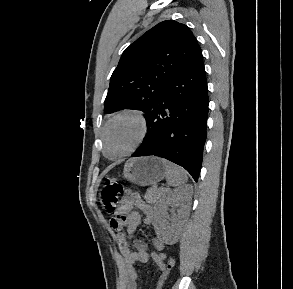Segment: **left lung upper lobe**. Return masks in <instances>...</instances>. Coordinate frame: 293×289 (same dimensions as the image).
Wrapping results in <instances>:
<instances>
[{
  "label": "left lung upper lobe",
  "instance_id": "5c2ea615",
  "mask_svg": "<svg viewBox=\"0 0 293 289\" xmlns=\"http://www.w3.org/2000/svg\"><path fill=\"white\" fill-rule=\"evenodd\" d=\"M200 54L201 48L186 25L174 20L157 24L123 52L110 78L106 113L121 109L146 113Z\"/></svg>",
  "mask_w": 293,
  "mask_h": 289
}]
</instances>
